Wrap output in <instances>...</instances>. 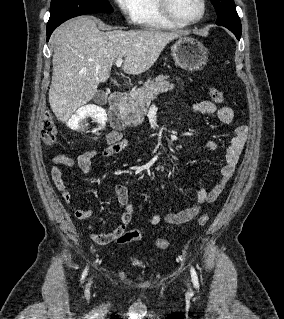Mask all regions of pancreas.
Returning a JSON list of instances; mask_svg holds the SVG:
<instances>
[{
  "label": "pancreas",
  "mask_w": 284,
  "mask_h": 319,
  "mask_svg": "<svg viewBox=\"0 0 284 319\" xmlns=\"http://www.w3.org/2000/svg\"><path fill=\"white\" fill-rule=\"evenodd\" d=\"M168 78L169 76L159 75L153 80L149 79L142 87L130 92L121 111L127 124L132 126L142 124L151 102L157 95L173 89L174 85L168 81Z\"/></svg>",
  "instance_id": "1"
}]
</instances>
